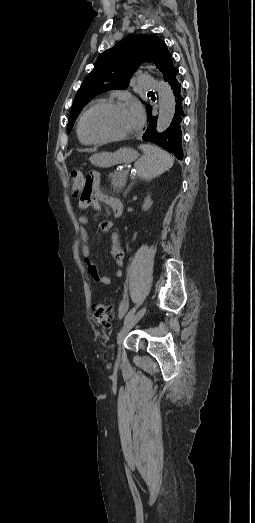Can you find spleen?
I'll list each match as a JSON object with an SVG mask.
<instances>
[{"label":"spleen","instance_id":"obj_1","mask_svg":"<svg viewBox=\"0 0 255 523\" xmlns=\"http://www.w3.org/2000/svg\"><path fill=\"white\" fill-rule=\"evenodd\" d=\"M139 148L143 150L144 156L135 162L134 168L143 180H153L172 168L174 158L165 150H161L157 146H149V144H142Z\"/></svg>","mask_w":255,"mask_h":523}]
</instances>
